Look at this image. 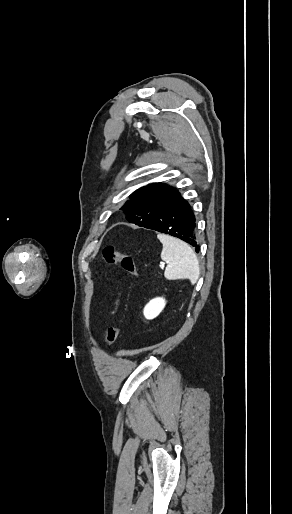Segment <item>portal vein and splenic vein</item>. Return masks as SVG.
Instances as JSON below:
<instances>
[{
    "instance_id": "portal-vein-and-splenic-vein-1",
    "label": "portal vein and splenic vein",
    "mask_w": 292,
    "mask_h": 514,
    "mask_svg": "<svg viewBox=\"0 0 292 514\" xmlns=\"http://www.w3.org/2000/svg\"><path fill=\"white\" fill-rule=\"evenodd\" d=\"M166 264H168V262H166ZM161 266H164V264H161Z\"/></svg>"
}]
</instances>
